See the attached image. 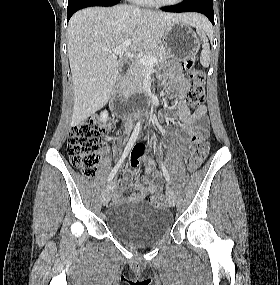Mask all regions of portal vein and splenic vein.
Wrapping results in <instances>:
<instances>
[{
	"label": "portal vein and splenic vein",
	"mask_w": 280,
	"mask_h": 285,
	"mask_svg": "<svg viewBox=\"0 0 280 285\" xmlns=\"http://www.w3.org/2000/svg\"><path fill=\"white\" fill-rule=\"evenodd\" d=\"M132 41L130 39L125 40L121 45L114 49H104L105 52L113 53L115 55H123L127 58H135L134 53L126 51V49L131 45ZM139 61L145 66H153V64L157 61L156 56H143L139 59Z\"/></svg>",
	"instance_id": "portal-vein-and-splenic-vein-1"
}]
</instances>
